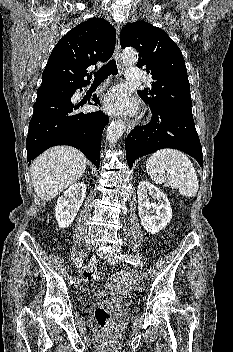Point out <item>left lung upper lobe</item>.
Wrapping results in <instances>:
<instances>
[{
  "mask_svg": "<svg viewBox=\"0 0 233 352\" xmlns=\"http://www.w3.org/2000/svg\"><path fill=\"white\" fill-rule=\"evenodd\" d=\"M120 44L137 49V66L152 75L151 88L138 91L149 107L165 108L193 117L185 61L168 34L147 22L137 21L122 29Z\"/></svg>",
  "mask_w": 233,
  "mask_h": 352,
  "instance_id": "5c2ea615",
  "label": "left lung upper lobe"
}]
</instances>
